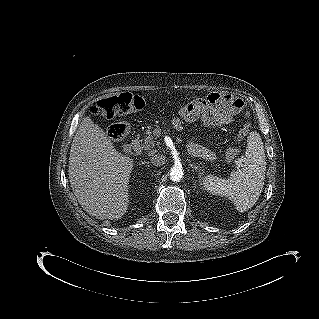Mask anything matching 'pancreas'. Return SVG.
Listing matches in <instances>:
<instances>
[{"label":"pancreas","mask_w":319,"mask_h":319,"mask_svg":"<svg viewBox=\"0 0 319 319\" xmlns=\"http://www.w3.org/2000/svg\"><path fill=\"white\" fill-rule=\"evenodd\" d=\"M157 142L154 140V136L148 130L147 135L144 138V142L141 144V147L145 151H150L155 148Z\"/></svg>","instance_id":"obj_1"}]
</instances>
